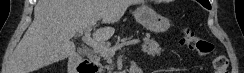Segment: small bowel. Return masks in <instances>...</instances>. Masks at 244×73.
I'll use <instances>...</instances> for the list:
<instances>
[{
  "label": "small bowel",
  "mask_w": 244,
  "mask_h": 73,
  "mask_svg": "<svg viewBox=\"0 0 244 73\" xmlns=\"http://www.w3.org/2000/svg\"><path fill=\"white\" fill-rule=\"evenodd\" d=\"M133 68L135 70L133 73H143V70L139 65H134Z\"/></svg>",
  "instance_id": "obj_1"
}]
</instances>
